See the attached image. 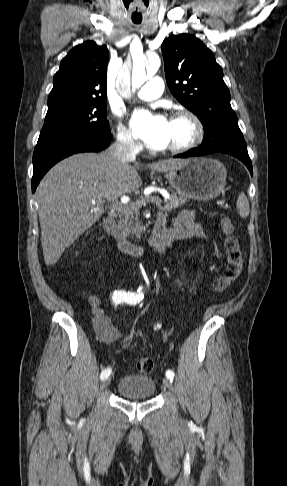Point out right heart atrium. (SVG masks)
<instances>
[{
	"mask_svg": "<svg viewBox=\"0 0 287 486\" xmlns=\"http://www.w3.org/2000/svg\"><path fill=\"white\" fill-rule=\"evenodd\" d=\"M114 134L117 143L127 150H137L139 148L138 143L135 141L131 132L120 122H115Z\"/></svg>",
	"mask_w": 287,
	"mask_h": 486,
	"instance_id": "right-heart-atrium-1",
	"label": "right heart atrium"
}]
</instances>
